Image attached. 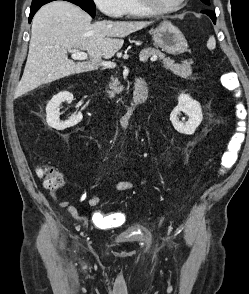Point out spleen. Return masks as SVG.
I'll list each match as a JSON object with an SVG mask.
<instances>
[{
  "label": "spleen",
  "mask_w": 249,
  "mask_h": 294,
  "mask_svg": "<svg viewBox=\"0 0 249 294\" xmlns=\"http://www.w3.org/2000/svg\"><path fill=\"white\" fill-rule=\"evenodd\" d=\"M207 47L210 50L215 49V47H216V41H215V38L213 36H210L209 37V39L207 41Z\"/></svg>",
  "instance_id": "3e777b00"
}]
</instances>
